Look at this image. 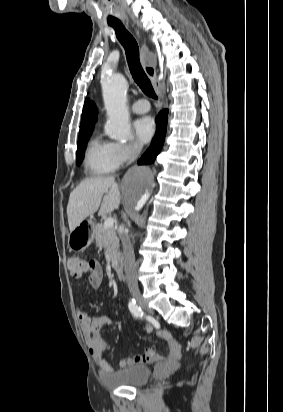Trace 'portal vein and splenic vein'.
<instances>
[{
    "label": "portal vein and splenic vein",
    "mask_w": 283,
    "mask_h": 412,
    "mask_svg": "<svg viewBox=\"0 0 283 412\" xmlns=\"http://www.w3.org/2000/svg\"><path fill=\"white\" fill-rule=\"evenodd\" d=\"M114 225V219L113 218H107L104 221V228H111Z\"/></svg>",
    "instance_id": "1"
}]
</instances>
